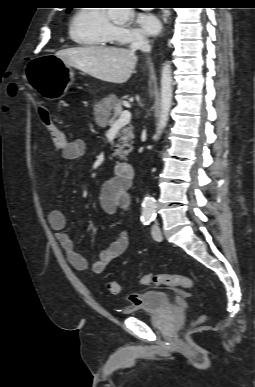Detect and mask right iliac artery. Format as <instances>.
Masks as SVG:
<instances>
[{
    "label": "right iliac artery",
    "mask_w": 255,
    "mask_h": 387,
    "mask_svg": "<svg viewBox=\"0 0 255 387\" xmlns=\"http://www.w3.org/2000/svg\"><path fill=\"white\" fill-rule=\"evenodd\" d=\"M144 225H148L151 222V218L144 217L141 219Z\"/></svg>",
    "instance_id": "obj_1"
}]
</instances>
